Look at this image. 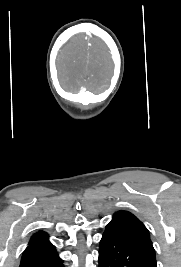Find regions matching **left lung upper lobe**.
Masks as SVG:
<instances>
[{
  "label": "left lung upper lobe",
  "mask_w": 181,
  "mask_h": 267,
  "mask_svg": "<svg viewBox=\"0 0 181 267\" xmlns=\"http://www.w3.org/2000/svg\"><path fill=\"white\" fill-rule=\"evenodd\" d=\"M109 224H117L134 231L136 234L146 238L151 242L149 232L143 223L133 214L127 211H119L115 213Z\"/></svg>",
  "instance_id": "obj_1"
}]
</instances>
